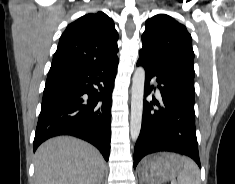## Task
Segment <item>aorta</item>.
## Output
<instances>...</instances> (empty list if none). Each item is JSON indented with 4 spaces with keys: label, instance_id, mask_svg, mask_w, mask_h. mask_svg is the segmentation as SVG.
<instances>
[{
    "label": "aorta",
    "instance_id": "aorta-1",
    "mask_svg": "<svg viewBox=\"0 0 235 184\" xmlns=\"http://www.w3.org/2000/svg\"><path fill=\"white\" fill-rule=\"evenodd\" d=\"M144 82H145V70L144 68H137L133 76V84L131 92L130 136L133 142H136L141 130Z\"/></svg>",
    "mask_w": 235,
    "mask_h": 184
}]
</instances>
